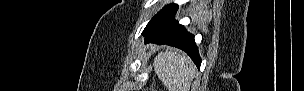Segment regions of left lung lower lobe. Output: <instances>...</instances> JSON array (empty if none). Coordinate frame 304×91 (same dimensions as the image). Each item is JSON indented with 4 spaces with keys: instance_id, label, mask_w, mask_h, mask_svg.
Instances as JSON below:
<instances>
[{
    "instance_id": "obj_1",
    "label": "left lung lower lobe",
    "mask_w": 304,
    "mask_h": 91,
    "mask_svg": "<svg viewBox=\"0 0 304 91\" xmlns=\"http://www.w3.org/2000/svg\"><path fill=\"white\" fill-rule=\"evenodd\" d=\"M177 8V4H169L162 10L155 23L143 34L145 41L179 48L185 51L200 68L201 59L194 36L186 32L184 26L174 20Z\"/></svg>"
}]
</instances>
